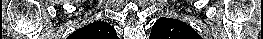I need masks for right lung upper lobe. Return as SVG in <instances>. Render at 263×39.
Instances as JSON below:
<instances>
[{"instance_id":"obj_1","label":"right lung upper lobe","mask_w":263,"mask_h":39,"mask_svg":"<svg viewBox=\"0 0 263 39\" xmlns=\"http://www.w3.org/2000/svg\"><path fill=\"white\" fill-rule=\"evenodd\" d=\"M75 36L82 39H116L117 34L114 28L106 22H94L78 29L74 32Z\"/></svg>"}]
</instances>
